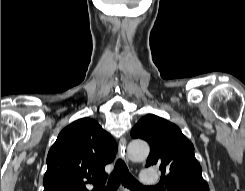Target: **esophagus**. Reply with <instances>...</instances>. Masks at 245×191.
Listing matches in <instances>:
<instances>
[{"instance_id": "obj_1", "label": "esophagus", "mask_w": 245, "mask_h": 191, "mask_svg": "<svg viewBox=\"0 0 245 191\" xmlns=\"http://www.w3.org/2000/svg\"><path fill=\"white\" fill-rule=\"evenodd\" d=\"M126 145H127L126 139L124 137H121L119 141V146H118V154L122 160H124L125 162H128V157L126 153Z\"/></svg>"}]
</instances>
